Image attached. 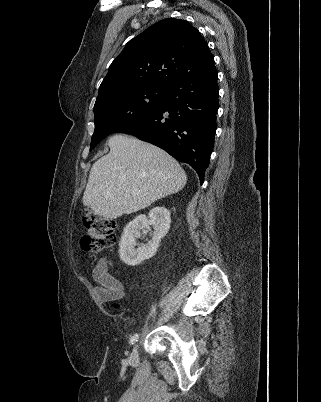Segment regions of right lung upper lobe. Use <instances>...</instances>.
<instances>
[{
    "mask_svg": "<svg viewBox=\"0 0 321 402\" xmlns=\"http://www.w3.org/2000/svg\"><path fill=\"white\" fill-rule=\"evenodd\" d=\"M214 63L200 32L185 20L168 18L129 41L102 81L96 102L146 87H164Z\"/></svg>",
    "mask_w": 321,
    "mask_h": 402,
    "instance_id": "1",
    "label": "right lung upper lobe"
}]
</instances>
